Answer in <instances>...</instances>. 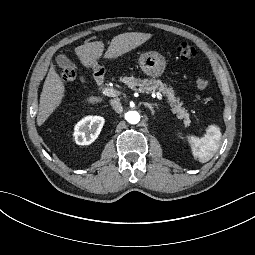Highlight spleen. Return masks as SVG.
I'll use <instances>...</instances> for the list:
<instances>
[{
  "mask_svg": "<svg viewBox=\"0 0 255 255\" xmlns=\"http://www.w3.org/2000/svg\"><path fill=\"white\" fill-rule=\"evenodd\" d=\"M221 136L220 129L213 127L209 135L200 140L199 147L194 151V155L200 162H208L214 156L219 148Z\"/></svg>",
  "mask_w": 255,
  "mask_h": 255,
  "instance_id": "obj_1",
  "label": "spleen"
}]
</instances>
